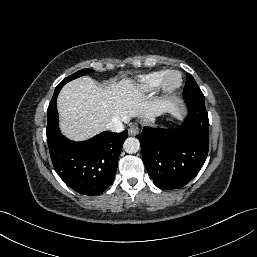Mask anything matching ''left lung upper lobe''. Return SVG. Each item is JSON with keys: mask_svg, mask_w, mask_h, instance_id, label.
<instances>
[{"mask_svg": "<svg viewBox=\"0 0 257 257\" xmlns=\"http://www.w3.org/2000/svg\"><path fill=\"white\" fill-rule=\"evenodd\" d=\"M185 100H201L204 101V95L195 82L191 74H187L186 84L183 90Z\"/></svg>", "mask_w": 257, "mask_h": 257, "instance_id": "obj_1", "label": "left lung upper lobe"}]
</instances>
